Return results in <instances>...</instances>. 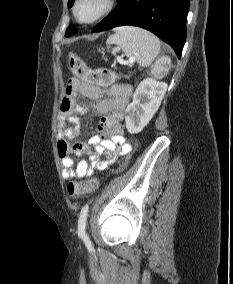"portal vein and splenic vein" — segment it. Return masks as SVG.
Wrapping results in <instances>:
<instances>
[{
	"mask_svg": "<svg viewBox=\"0 0 233 284\" xmlns=\"http://www.w3.org/2000/svg\"><path fill=\"white\" fill-rule=\"evenodd\" d=\"M119 62L122 63V64H127V62H125V61L122 60V59H119Z\"/></svg>",
	"mask_w": 233,
	"mask_h": 284,
	"instance_id": "1",
	"label": "portal vein and splenic vein"
}]
</instances>
